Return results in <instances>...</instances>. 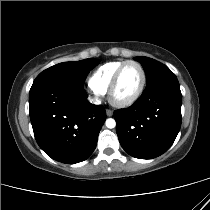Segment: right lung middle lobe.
Segmentation results:
<instances>
[{
    "label": "right lung middle lobe",
    "mask_w": 210,
    "mask_h": 210,
    "mask_svg": "<svg viewBox=\"0 0 210 210\" xmlns=\"http://www.w3.org/2000/svg\"><path fill=\"white\" fill-rule=\"evenodd\" d=\"M99 62L100 61L97 59L89 58L77 62L60 63L41 72L36 77L33 84L45 81H60L83 87L88 73L98 65Z\"/></svg>",
    "instance_id": "1"
}]
</instances>
